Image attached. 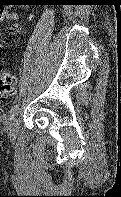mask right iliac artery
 I'll return each instance as SVG.
<instances>
[{
    "label": "right iliac artery",
    "instance_id": "82829eb1",
    "mask_svg": "<svg viewBox=\"0 0 121 197\" xmlns=\"http://www.w3.org/2000/svg\"><path fill=\"white\" fill-rule=\"evenodd\" d=\"M18 109H19V105L18 104H16V105L11 107V109L9 111L10 118H13L16 115Z\"/></svg>",
    "mask_w": 121,
    "mask_h": 197
}]
</instances>
